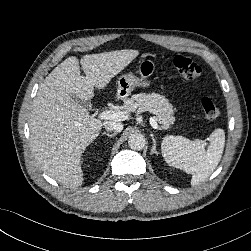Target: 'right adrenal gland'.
Returning a JSON list of instances; mask_svg holds the SVG:
<instances>
[{
  "label": "right adrenal gland",
  "mask_w": 251,
  "mask_h": 251,
  "mask_svg": "<svg viewBox=\"0 0 251 251\" xmlns=\"http://www.w3.org/2000/svg\"><path fill=\"white\" fill-rule=\"evenodd\" d=\"M102 135H106L111 138V137H114L116 135V133L109 134V133L103 132Z\"/></svg>",
  "instance_id": "right-adrenal-gland-1"
}]
</instances>
